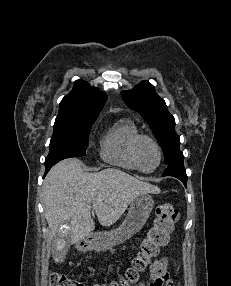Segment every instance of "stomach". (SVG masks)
Instances as JSON below:
<instances>
[{
	"instance_id": "0dacf381",
	"label": "stomach",
	"mask_w": 231,
	"mask_h": 286,
	"mask_svg": "<svg viewBox=\"0 0 231 286\" xmlns=\"http://www.w3.org/2000/svg\"><path fill=\"white\" fill-rule=\"evenodd\" d=\"M153 206L154 200L149 193L135 197L130 203L124 221L117 229L90 233L76 243L77 249L83 252L106 251L125 243L144 226Z\"/></svg>"
}]
</instances>
